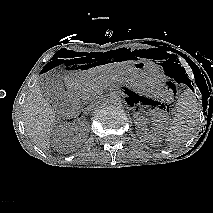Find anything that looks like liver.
Masks as SVG:
<instances>
[{
	"label": "liver",
	"mask_w": 213,
	"mask_h": 213,
	"mask_svg": "<svg viewBox=\"0 0 213 213\" xmlns=\"http://www.w3.org/2000/svg\"><path fill=\"white\" fill-rule=\"evenodd\" d=\"M124 63L93 67L85 72L87 77L111 73ZM102 81V80H101ZM23 122L31 141L43 151L50 150V136L55 125V111L43 97L38 84L34 85L23 104Z\"/></svg>",
	"instance_id": "obj_1"
}]
</instances>
